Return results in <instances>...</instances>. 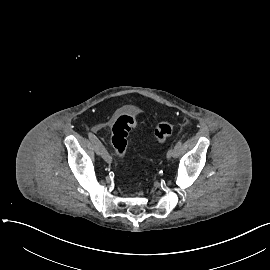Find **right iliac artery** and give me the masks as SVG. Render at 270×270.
Returning <instances> with one entry per match:
<instances>
[{"label": "right iliac artery", "mask_w": 270, "mask_h": 270, "mask_svg": "<svg viewBox=\"0 0 270 270\" xmlns=\"http://www.w3.org/2000/svg\"><path fill=\"white\" fill-rule=\"evenodd\" d=\"M88 137L91 140L92 143L96 144L101 152V156L102 158L108 162L111 163L112 162V158L109 155V153L107 152V150L105 149V147L102 145V143L98 140V138L91 132L88 133Z\"/></svg>", "instance_id": "1"}]
</instances>
